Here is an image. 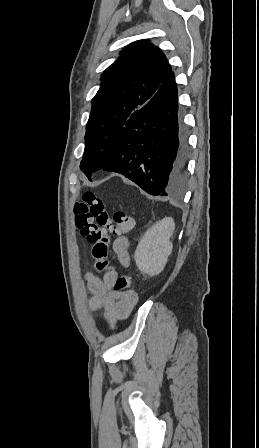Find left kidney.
Returning <instances> with one entry per match:
<instances>
[{"label":"left kidney","mask_w":259,"mask_h":448,"mask_svg":"<svg viewBox=\"0 0 259 448\" xmlns=\"http://www.w3.org/2000/svg\"><path fill=\"white\" fill-rule=\"evenodd\" d=\"M174 228L173 218H163L144 234L135 252V262L142 274L158 276L164 270L173 248L170 238Z\"/></svg>","instance_id":"left-kidney-1"}]
</instances>
